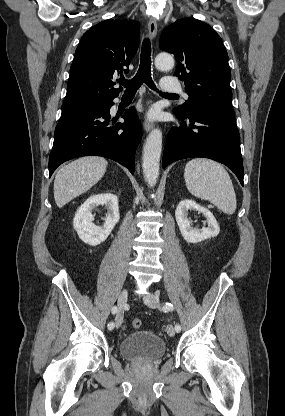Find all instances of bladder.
I'll use <instances>...</instances> for the list:
<instances>
[{
	"label": "bladder",
	"mask_w": 285,
	"mask_h": 416,
	"mask_svg": "<svg viewBox=\"0 0 285 416\" xmlns=\"http://www.w3.org/2000/svg\"><path fill=\"white\" fill-rule=\"evenodd\" d=\"M118 351L122 359L153 362L165 356L166 342L151 330H139L125 336L118 343Z\"/></svg>",
	"instance_id": "bladder-1"
}]
</instances>
